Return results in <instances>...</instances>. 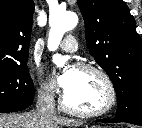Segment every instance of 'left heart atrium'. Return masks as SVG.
Segmentation results:
<instances>
[{
    "mask_svg": "<svg viewBox=\"0 0 142 128\" xmlns=\"http://www.w3.org/2000/svg\"><path fill=\"white\" fill-rule=\"evenodd\" d=\"M75 82L74 70H67L56 74V83L65 92H67Z\"/></svg>",
    "mask_w": 142,
    "mask_h": 128,
    "instance_id": "left-heart-atrium-1",
    "label": "left heart atrium"
}]
</instances>
